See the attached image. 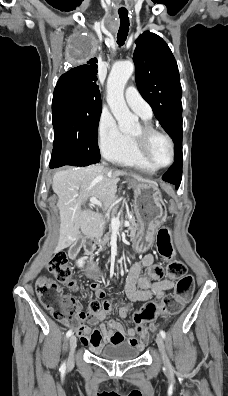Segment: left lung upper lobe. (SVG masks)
Returning a JSON list of instances; mask_svg holds the SVG:
<instances>
[{
  "label": "left lung upper lobe",
  "instance_id": "5c2ea615",
  "mask_svg": "<svg viewBox=\"0 0 228 396\" xmlns=\"http://www.w3.org/2000/svg\"><path fill=\"white\" fill-rule=\"evenodd\" d=\"M136 84L163 129L174 142L182 138V89L175 58L158 35L149 31L135 41Z\"/></svg>",
  "mask_w": 228,
  "mask_h": 396
}]
</instances>
